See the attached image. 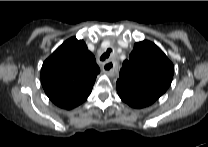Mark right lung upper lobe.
Returning <instances> with one entry per match:
<instances>
[{"instance_id": "right-lung-upper-lobe-1", "label": "right lung upper lobe", "mask_w": 208, "mask_h": 147, "mask_svg": "<svg viewBox=\"0 0 208 147\" xmlns=\"http://www.w3.org/2000/svg\"><path fill=\"white\" fill-rule=\"evenodd\" d=\"M99 72L95 57L85 42L72 37L45 60L41 83L53 103L72 109L87 99Z\"/></svg>"}]
</instances>
